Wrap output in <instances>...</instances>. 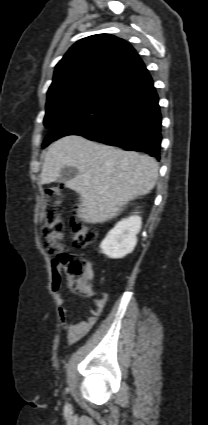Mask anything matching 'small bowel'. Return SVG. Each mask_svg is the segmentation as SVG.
<instances>
[{"mask_svg":"<svg viewBox=\"0 0 208 425\" xmlns=\"http://www.w3.org/2000/svg\"><path fill=\"white\" fill-rule=\"evenodd\" d=\"M92 276V271L89 269L87 274V279H90ZM60 276L53 273V282L52 288L54 292L55 301L58 307V317L62 329L66 332L68 341L70 343H75L85 337L95 326L99 316L102 314L103 309L108 301V294L105 292L97 293L89 284L84 285V294L89 298L94 299L95 307L90 310L89 316L79 322L71 323L68 321L67 309L64 305V299L59 290Z\"/></svg>","mask_w":208,"mask_h":425,"instance_id":"obj_1","label":"small bowel"}]
</instances>
